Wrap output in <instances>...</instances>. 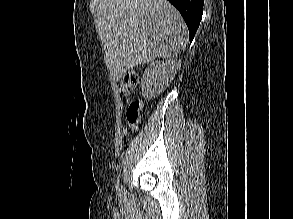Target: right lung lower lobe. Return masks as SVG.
Wrapping results in <instances>:
<instances>
[{
	"label": "right lung lower lobe",
	"mask_w": 293,
	"mask_h": 219,
	"mask_svg": "<svg viewBox=\"0 0 293 219\" xmlns=\"http://www.w3.org/2000/svg\"><path fill=\"white\" fill-rule=\"evenodd\" d=\"M181 13L189 29V40H193L194 35L199 27L204 0H168Z\"/></svg>",
	"instance_id": "98d812e1"
}]
</instances>
